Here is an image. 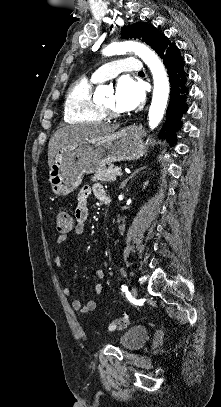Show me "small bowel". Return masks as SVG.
I'll list each match as a JSON object with an SVG mask.
<instances>
[{"label": "small bowel", "mask_w": 221, "mask_h": 407, "mask_svg": "<svg viewBox=\"0 0 221 407\" xmlns=\"http://www.w3.org/2000/svg\"><path fill=\"white\" fill-rule=\"evenodd\" d=\"M93 194L94 196L104 202V199L106 197H109L106 190L104 189L103 186L101 185H94L93 189ZM91 194V190L88 187L82 188L77 196V207L74 212V228L72 233L74 235H80L86 225L88 215H89V208H88V198ZM69 238L68 234H62L59 235L56 242L57 244H62L64 243L67 239ZM55 262L58 266H61L62 260L60 257H57L55 259ZM96 281L94 283V291L96 294H101L103 292V284L102 280L105 278L106 273L103 268H97L94 272ZM64 293L67 296L72 295V291L69 288L64 289ZM71 305L74 310L79 311L80 313H89L91 311H94L97 308V301L94 299L88 300L86 304H82V302L79 299H73L71 302Z\"/></svg>", "instance_id": "c3829d8e"}]
</instances>
